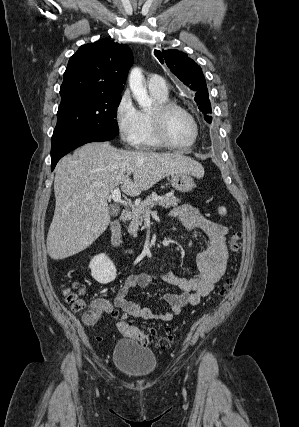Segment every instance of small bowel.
<instances>
[{"mask_svg": "<svg viewBox=\"0 0 299 427\" xmlns=\"http://www.w3.org/2000/svg\"><path fill=\"white\" fill-rule=\"evenodd\" d=\"M170 216L179 220L188 231L201 232L209 241V247L196 257L197 274L192 278H185L171 272H164L160 275L164 282L181 290L180 293L168 292L161 295L160 301L167 305L164 311L142 307L127 299L131 289L146 287L157 277L151 273L129 275L118 289L113 302L107 299L96 301L99 310L114 314L115 308H120L135 319L167 322L177 317L184 307L198 305L204 297L212 292L226 270L228 228L206 218L190 204H182L173 208Z\"/></svg>", "mask_w": 299, "mask_h": 427, "instance_id": "c3829d8e", "label": "small bowel"}]
</instances>
